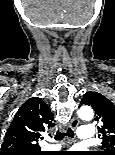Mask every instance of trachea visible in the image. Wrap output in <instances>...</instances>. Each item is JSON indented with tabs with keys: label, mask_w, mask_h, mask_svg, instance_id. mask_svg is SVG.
Wrapping results in <instances>:
<instances>
[{
	"label": "trachea",
	"mask_w": 115,
	"mask_h": 155,
	"mask_svg": "<svg viewBox=\"0 0 115 155\" xmlns=\"http://www.w3.org/2000/svg\"><path fill=\"white\" fill-rule=\"evenodd\" d=\"M65 135L68 136V137L73 138L74 137V132L70 128L67 129L66 133L61 132V131L58 130L55 137H54V139L56 141H60V140H62L64 138Z\"/></svg>",
	"instance_id": "1"
}]
</instances>
